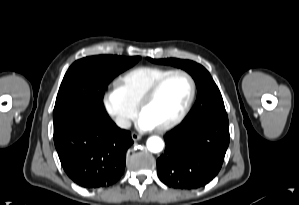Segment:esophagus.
Listing matches in <instances>:
<instances>
[{"mask_svg": "<svg viewBox=\"0 0 299 205\" xmlns=\"http://www.w3.org/2000/svg\"><path fill=\"white\" fill-rule=\"evenodd\" d=\"M131 137H132V139H133L134 141H138V140L141 139V135H139V134H137V133H135V132H133V133L131 134Z\"/></svg>", "mask_w": 299, "mask_h": 205, "instance_id": "esophagus-1", "label": "esophagus"}]
</instances>
